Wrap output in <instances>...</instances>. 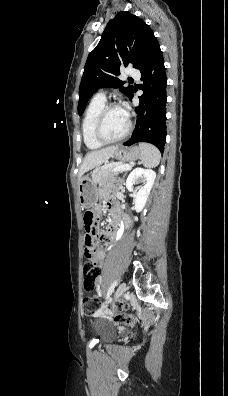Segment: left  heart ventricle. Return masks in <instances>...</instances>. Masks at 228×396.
<instances>
[{
	"instance_id": "left-heart-ventricle-1",
	"label": "left heart ventricle",
	"mask_w": 228,
	"mask_h": 396,
	"mask_svg": "<svg viewBox=\"0 0 228 396\" xmlns=\"http://www.w3.org/2000/svg\"><path fill=\"white\" fill-rule=\"evenodd\" d=\"M128 117L121 108L111 109L104 120L103 132L107 138H116L127 128Z\"/></svg>"
}]
</instances>
